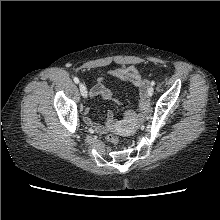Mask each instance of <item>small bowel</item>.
<instances>
[{
  "mask_svg": "<svg viewBox=\"0 0 220 220\" xmlns=\"http://www.w3.org/2000/svg\"><path fill=\"white\" fill-rule=\"evenodd\" d=\"M110 78H117L122 81L131 82L137 89L140 99V109L146 108L148 104L147 88L149 86V81L142 77L140 70L135 66L113 69L99 77L97 85L90 90V97H100L107 100H113L118 105H121V102L114 97L112 89L107 85V80ZM109 118H112L111 113L109 114ZM84 121L100 133H103L107 128V125L99 124L91 118L88 108L84 110Z\"/></svg>",
  "mask_w": 220,
  "mask_h": 220,
  "instance_id": "c3829d8e",
  "label": "small bowel"
}]
</instances>
